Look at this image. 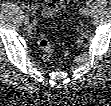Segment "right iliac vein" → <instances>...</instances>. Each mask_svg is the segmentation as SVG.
Returning <instances> with one entry per match:
<instances>
[{
  "label": "right iliac vein",
  "mask_w": 111,
  "mask_h": 106,
  "mask_svg": "<svg viewBox=\"0 0 111 106\" xmlns=\"http://www.w3.org/2000/svg\"><path fill=\"white\" fill-rule=\"evenodd\" d=\"M23 22H24L25 24H29V19H23Z\"/></svg>",
  "instance_id": "1"
}]
</instances>
